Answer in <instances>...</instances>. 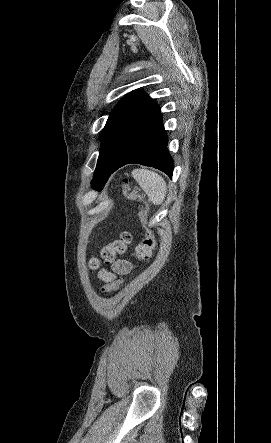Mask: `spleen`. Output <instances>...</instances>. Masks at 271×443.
Segmentation results:
<instances>
[{
	"label": "spleen",
	"instance_id": "1",
	"mask_svg": "<svg viewBox=\"0 0 271 443\" xmlns=\"http://www.w3.org/2000/svg\"><path fill=\"white\" fill-rule=\"evenodd\" d=\"M132 176L142 190L146 192L150 202L155 206L163 204L166 198V182L162 176L151 170H133Z\"/></svg>",
	"mask_w": 271,
	"mask_h": 443
}]
</instances>
